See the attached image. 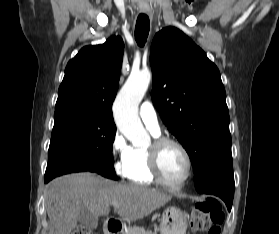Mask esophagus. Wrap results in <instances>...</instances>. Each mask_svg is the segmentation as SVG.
<instances>
[{"mask_svg": "<svg viewBox=\"0 0 279 234\" xmlns=\"http://www.w3.org/2000/svg\"><path fill=\"white\" fill-rule=\"evenodd\" d=\"M142 13L146 14V15L149 16L151 19H152V17H153L152 12H150V11H142Z\"/></svg>", "mask_w": 279, "mask_h": 234, "instance_id": "esophagus-1", "label": "esophagus"}]
</instances>
